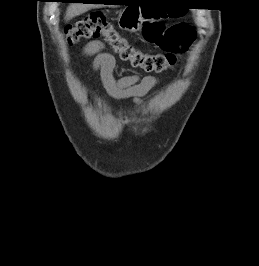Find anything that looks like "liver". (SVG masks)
<instances>
[{
    "label": "liver",
    "mask_w": 259,
    "mask_h": 266,
    "mask_svg": "<svg viewBox=\"0 0 259 266\" xmlns=\"http://www.w3.org/2000/svg\"><path fill=\"white\" fill-rule=\"evenodd\" d=\"M94 6L91 4H83V3H72L68 6L65 19L68 21L76 16H79L86 11H88L90 8H93Z\"/></svg>",
    "instance_id": "1"
}]
</instances>
